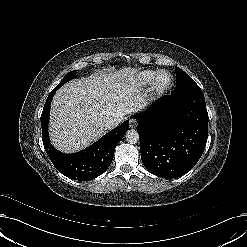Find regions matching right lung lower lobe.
<instances>
[{
  "label": "right lung lower lobe",
  "mask_w": 247,
  "mask_h": 247,
  "mask_svg": "<svg viewBox=\"0 0 247 247\" xmlns=\"http://www.w3.org/2000/svg\"><path fill=\"white\" fill-rule=\"evenodd\" d=\"M58 89L54 88L50 92L41 115L42 140L45 151L55 168L63 175L80 181L95 179L104 173L111 164L115 147L129 129V121H125L85 150L74 154L61 153L51 145L48 136L50 105Z\"/></svg>",
  "instance_id": "98d812e1"
}]
</instances>
